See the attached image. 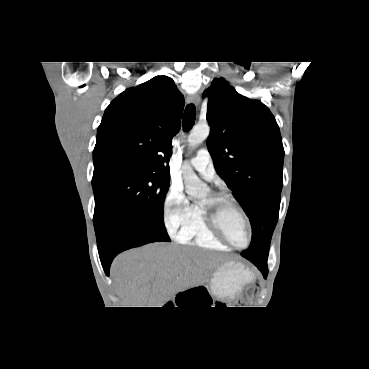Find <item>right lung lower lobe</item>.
I'll use <instances>...</instances> for the list:
<instances>
[{
  "label": "right lung lower lobe",
  "mask_w": 369,
  "mask_h": 369,
  "mask_svg": "<svg viewBox=\"0 0 369 369\" xmlns=\"http://www.w3.org/2000/svg\"><path fill=\"white\" fill-rule=\"evenodd\" d=\"M96 237L100 260L107 275L110 264L118 253L157 241L143 226L128 218L113 220Z\"/></svg>",
  "instance_id": "98d812e1"
}]
</instances>
